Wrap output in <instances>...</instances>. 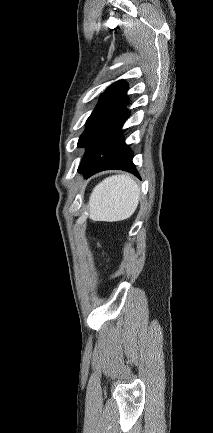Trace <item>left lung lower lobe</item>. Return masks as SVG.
Returning <instances> with one entry per match:
<instances>
[{
  "instance_id": "left-lung-lower-lobe-1",
  "label": "left lung lower lobe",
  "mask_w": 213,
  "mask_h": 433,
  "mask_svg": "<svg viewBox=\"0 0 213 433\" xmlns=\"http://www.w3.org/2000/svg\"><path fill=\"white\" fill-rule=\"evenodd\" d=\"M129 115L130 112L128 111L112 131L99 153L83 170L80 171L85 178H89L100 171L109 169L128 171L139 177L135 165L132 162L133 154L125 144L121 135V128Z\"/></svg>"
}]
</instances>
